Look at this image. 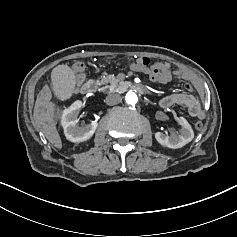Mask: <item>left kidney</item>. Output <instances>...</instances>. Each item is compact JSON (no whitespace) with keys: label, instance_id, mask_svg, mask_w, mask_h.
I'll use <instances>...</instances> for the list:
<instances>
[{"label":"left kidney","instance_id":"5707ae66","mask_svg":"<svg viewBox=\"0 0 237 237\" xmlns=\"http://www.w3.org/2000/svg\"><path fill=\"white\" fill-rule=\"evenodd\" d=\"M178 123L182 126L178 134L176 133L169 136L162 132H156L155 138L162 146L177 149L192 141L194 132L188 121L184 117H180Z\"/></svg>","mask_w":237,"mask_h":237}]
</instances>
